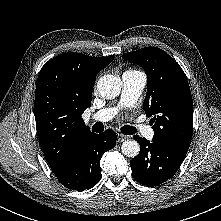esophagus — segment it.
Listing matches in <instances>:
<instances>
[{
  "mask_svg": "<svg viewBox=\"0 0 221 221\" xmlns=\"http://www.w3.org/2000/svg\"><path fill=\"white\" fill-rule=\"evenodd\" d=\"M127 139V137L121 133H117V142H123Z\"/></svg>",
  "mask_w": 221,
  "mask_h": 221,
  "instance_id": "1",
  "label": "esophagus"
}]
</instances>
